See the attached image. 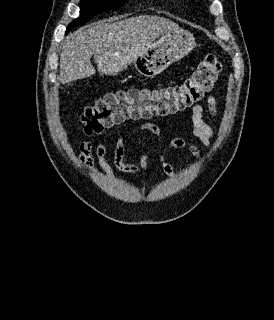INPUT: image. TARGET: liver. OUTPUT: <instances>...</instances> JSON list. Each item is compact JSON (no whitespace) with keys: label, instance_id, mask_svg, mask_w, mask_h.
<instances>
[{"label":"liver","instance_id":"1","mask_svg":"<svg viewBox=\"0 0 274 320\" xmlns=\"http://www.w3.org/2000/svg\"><path fill=\"white\" fill-rule=\"evenodd\" d=\"M179 26L160 16H136L127 20H101L69 34L60 56V82L68 84L93 76L92 56L98 72L116 76L142 56L158 38Z\"/></svg>","mask_w":274,"mask_h":320}]
</instances>
